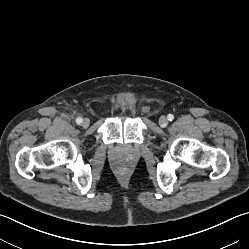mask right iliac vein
<instances>
[{
  "label": "right iliac vein",
  "instance_id": "obj_1",
  "mask_svg": "<svg viewBox=\"0 0 249 249\" xmlns=\"http://www.w3.org/2000/svg\"><path fill=\"white\" fill-rule=\"evenodd\" d=\"M89 124H90V120L88 119V118H85L84 120H83V122H82V125H83V127H88L89 126Z\"/></svg>",
  "mask_w": 249,
  "mask_h": 249
}]
</instances>
